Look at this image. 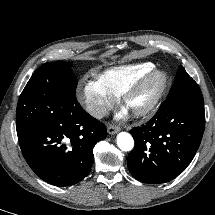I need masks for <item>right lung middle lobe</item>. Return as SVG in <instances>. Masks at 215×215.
<instances>
[{
	"label": "right lung middle lobe",
	"instance_id": "1",
	"mask_svg": "<svg viewBox=\"0 0 215 215\" xmlns=\"http://www.w3.org/2000/svg\"><path fill=\"white\" fill-rule=\"evenodd\" d=\"M71 65L62 61L45 63L33 73L17 105L18 138L55 110L76 102L77 79L71 72Z\"/></svg>",
	"mask_w": 215,
	"mask_h": 215
}]
</instances>
